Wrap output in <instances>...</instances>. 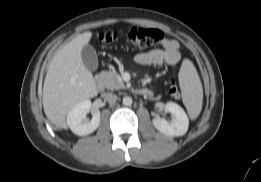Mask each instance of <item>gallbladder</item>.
<instances>
[{
	"mask_svg": "<svg viewBox=\"0 0 261 182\" xmlns=\"http://www.w3.org/2000/svg\"><path fill=\"white\" fill-rule=\"evenodd\" d=\"M82 61L85 67L94 72L98 68V57L95 49L91 45H85L81 51Z\"/></svg>",
	"mask_w": 261,
	"mask_h": 182,
	"instance_id": "obj_1",
	"label": "gallbladder"
}]
</instances>
